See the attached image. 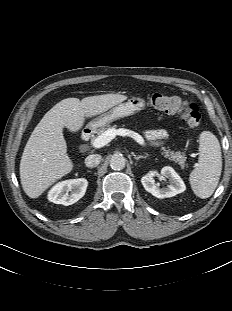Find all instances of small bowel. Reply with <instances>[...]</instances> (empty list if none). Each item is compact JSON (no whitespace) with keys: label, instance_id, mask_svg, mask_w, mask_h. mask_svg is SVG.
Here are the masks:
<instances>
[{"label":"small bowel","instance_id":"c3829d8e","mask_svg":"<svg viewBox=\"0 0 232 311\" xmlns=\"http://www.w3.org/2000/svg\"><path fill=\"white\" fill-rule=\"evenodd\" d=\"M145 137L151 144H158L167 138V132L163 129H151L146 131Z\"/></svg>","mask_w":232,"mask_h":311}]
</instances>
